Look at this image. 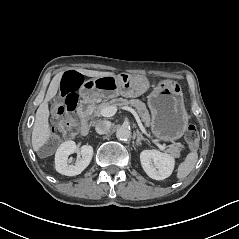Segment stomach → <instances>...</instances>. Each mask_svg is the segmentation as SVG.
Masks as SVG:
<instances>
[{"label":"stomach","mask_w":239,"mask_h":239,"mask_svg":"<svg viewBox=\"0 0 239 239\" xmlns=\"http://www.w3.org/2000/svg\"><path fill=\"white\" fill-rule=\"evenodd\" d=\"M149 88L150 81L146 76L123 72L89 79L81 85L79 94L84 101L94 103L99 97H138ZM147 106L151 113L150 131L156 141L175 143L184 136L190 116L178 81L165 79L158 82L147 96Z\"/></svg>","instance_id":"stomach-1"}]
</instances>
